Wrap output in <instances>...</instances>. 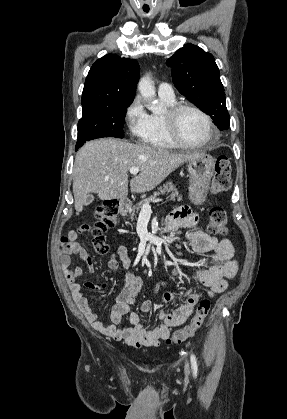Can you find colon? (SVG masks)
<instances>
[{
	"instance_id": "colon-1",
	"label": "colon",
	"mask_w": 287,
	"mask_h": 419,
	"mask_svg": "<svg viewBox=\"0 0 287 419\" xmlns=\"http://www.w3.org/2000/svg\"><path fill=\"white\" fill-rule=\"evenodd\" d=\"M232 166L227 157H219L215 163V172L211 183L213 193H223L231 187ZM118 204L114 200H108L98 206L95 210V221L88 226L91 235V246L97 253H105L107 245L104 233L115 227L117 223ZM226 214L221 208H212L209 212L208 230L214 234H225L227 232ZM210 301L202 300L195 315L189 324L184 328L175 331L167 340V344H179L191 338L202 326L210 311Z\"/></svg>"
}]
</instances>
